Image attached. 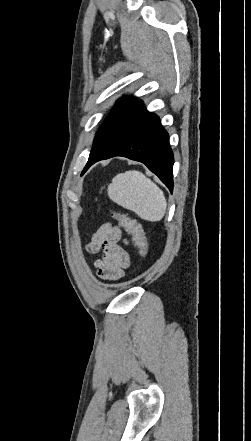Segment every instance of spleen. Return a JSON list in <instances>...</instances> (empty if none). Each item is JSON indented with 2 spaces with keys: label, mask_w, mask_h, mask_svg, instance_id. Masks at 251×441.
<instances>
[{
  "label": "spleen",
  "mask_w": 251,
  "mask_h": 441,
  "mask_svg": "<svg viewBox=\"0 0 251 441\" xmlns=\"http://www.w3.org/2000/svg\"><path fill=\"white\" fill-rule=\"evenodd\" d=\"M107 191L113 202L144 220L156 222L165 215L167 202L163 191L140 171L116 175Z\"/></svg>",
  "instance_id": "3e777b00"
}]
</instances>
